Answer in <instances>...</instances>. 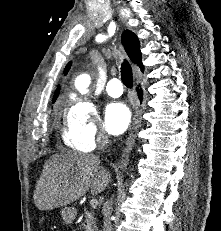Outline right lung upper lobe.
Wrapping results in <instances>:
<instances>
[{"label": "right lung upper lobe", "mask_w": 221, "mask_h": 231, "mask_svg": "<svg viewBox=\"0 0 221 231\" xmlns=\"http://www.w3.org/2000/svg\"><path fill=\"white\" fill-rule=\"evenodd\" d=\"M122 43L124 45L125 51L127 53V55L129 56L130 60L137 64L141 70H144V66L142 64V53L140 51V43L138 40V37L130 30H125L122 34ZM71 63H69L66 67V69L64 70V74L66 75L69 68H70ZM59 90L57 91V93L54 96V101L57 98V94H58Z\"/></svg>", "instance_id": "obj_1"}]
</instances>
